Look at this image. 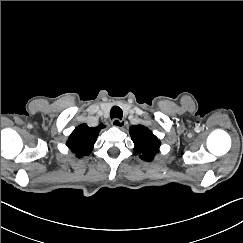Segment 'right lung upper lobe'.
Returning <instances> with one entry per match:
<instances>
[{"instance_id":"cb5924a9","label":"right lung upper lobe","mask_w":243,"mask_h":243,"mask_svg":"<svg viewBox=\"0 0 243 243\" xmlns=\"http://www.w3.org/2000/svg\"><path fill=\"white\" fill-rule=\"evenodd\" d=\"M105 126L100 124L97 127H88L87 124H81L70 134L66 145L77 157L89 155L99 135V132Z\"/></svg>"}]
</instances>
